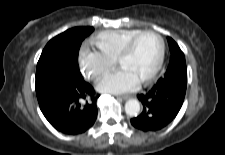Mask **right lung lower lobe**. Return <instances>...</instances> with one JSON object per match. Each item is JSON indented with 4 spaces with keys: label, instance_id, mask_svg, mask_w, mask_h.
I'll use <instances>...</instances> for the list:
<instances>
[{
    "label": "right lung lower lobe",
    "instance_id": "1",
    "mask_svg": "<svg viewBox=\"0 0 225 155\" xmlns=\"http://www.w3.org/2000/svg\"><path fill=\"white\" fill-rule=\"evenodd\" d=\"M40 109L58 131L76 135L88 130L97 118L93 87L79 70L66 68L36 88ZM90 97V100H87Z\"/></svg>",
    "mask_w": 225,
    "mask_h": 155
}]
</instances>
